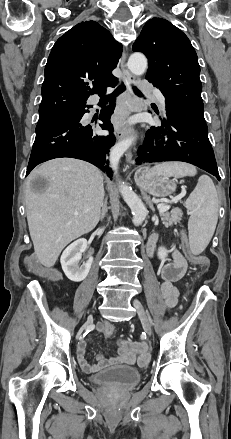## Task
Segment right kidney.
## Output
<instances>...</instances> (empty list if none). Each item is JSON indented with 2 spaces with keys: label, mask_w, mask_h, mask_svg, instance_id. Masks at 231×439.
Here are the masks:
<instances>
[{
  "label": "right kidney",
  "mask_w": 231,
  "mask_h": 439,
  "mask_svg": "<svg viewBox=\"0 0 231 439\" xmlns=\"http://www.w3.org/2000/svg\"><path fill=\"white\" fill-rule=\"evenodd\" d=\"M87 248V240L80 238L70 244L61 255V266L68 279L74 282H80L88 275L93 257H89L82 265L79 264L82 253Z\"/></svg>",
  "instance_id": "ca27d5eb"
}]
</instances>
